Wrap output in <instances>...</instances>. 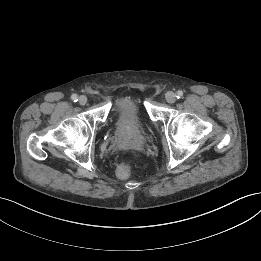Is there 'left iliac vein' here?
Returning <instances> with one entry per match:
<instances>
[{"label":"left iliac vein","instance_id":"4c4485c4","mask_svg":"<svg viewBox=\"0 0 261 261\" xmlns=\"http://www.w3.org/2000/svg\"><path fill=\"white\" fill-rule=\"evenodd\" d=\"M165 98L168 103H174L176 101V95L173 92H167Z\"/></svg>","mask_w":261,"mask_h":261}]
</instances>
